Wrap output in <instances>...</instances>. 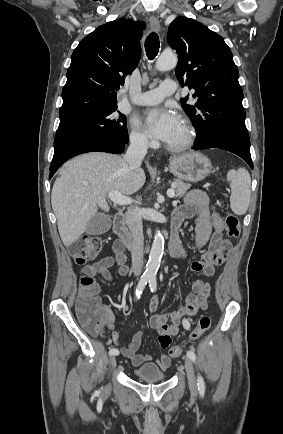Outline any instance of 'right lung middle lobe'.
Masks as SVG:
<instances>
[{
  "label": "right lung middle lobe",
  "mask_w": 283,
  "mask_h": 434,
  "mask_svg": "<svg viewBox=\"0 0 283 434\" xmlns=\"http://www.w3.org/2000/svg\"><path fill=\"white\" fill-rule=\"evenodd\" d=\"M117 107L71 114L60 117V124L54 140L57 150L75 140L90 136H110L128 143L125 115L114 112Z\"/></svg>",
  "instance_id": "dd1d6c3e"
}]
</instances>
